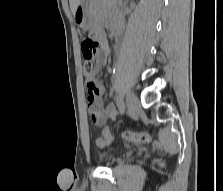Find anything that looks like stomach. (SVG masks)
<instances>
[{
  "label": "stomach",
  "mask_w": 223,
  "mask_h": 191,
  "mask_svg": "<svg viewBox=\"0 0 223 191\" xmlns=\"http://www.w3.org/2000/svg\"><path fill=\"white\" fill-rule=\"evenodd\" d=\"M90 0H82L77 6L74 19L78 27L82 30H90L93 26V21L89 9Z\"/></svg>",
  "instance_id": "0dacf381"
}]
</instances>
